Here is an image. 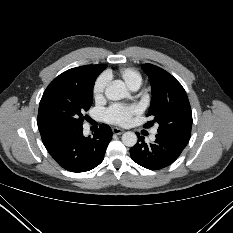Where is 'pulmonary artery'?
Segmentation results:
<instances>
[{"label": "pulmonary artery", "mask_w": 233, "mask_h": 233, "mask_svg": "<svg viewBox=\"0 0 233 233\" xmlns=\"http://www.w3.org/2000/svg\"><path fill=\"white\" fill-rule=\"evenodd\" d=\"M139 87H140V83H139V84H135L133 87H131V89H132L133 91H136V90L139 89ZM156 134H157V128H155V129L152 131L151 138L154 139Z\"/></svg>", "instance_id": "pulmonary-artery-1"}]
</instances>
